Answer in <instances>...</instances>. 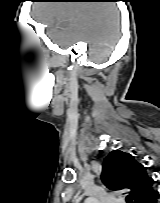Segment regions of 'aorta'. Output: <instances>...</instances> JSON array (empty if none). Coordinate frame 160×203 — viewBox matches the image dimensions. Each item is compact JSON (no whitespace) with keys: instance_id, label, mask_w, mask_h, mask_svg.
<instances>
[{"instance_id":"762f6f07","label":"aorta","mask_w":160,"mask_h":203,"mask_svg":"<svg viewBox=\"0 0 160 203\" xmlns=\"http://www.w3.org/2000/svg\"><path fill=\"white\" fill-rule=\"evenodd\" d=\"M85 203H98V201H97V199L90 197L85 201Z\"/></svg>"}]
</instances>
